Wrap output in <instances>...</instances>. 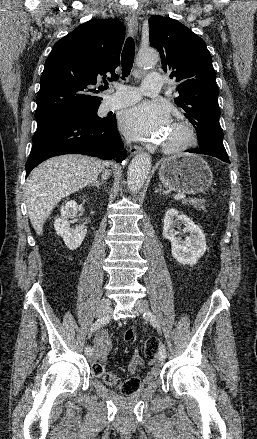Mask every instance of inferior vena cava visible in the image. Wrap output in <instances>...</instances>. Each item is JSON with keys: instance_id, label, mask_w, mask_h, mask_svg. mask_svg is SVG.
Returning <instances> with one entry per match:
<instances>
[{"instance_id": "inferior-vena-cava-1", "label": "inferior vena cava", "mask_w": 257, "mask_h": 439, "mask_svg": "<svg viewBox=\"0 0 257 439\" xmlns=\"http://www.w3.org/2000/svg\"><path fill=\"white\" fill-rule=\"evenodd\" d=\"M108 176V172L106 171L105 173H103V178H106Z\"/></svg>"}]
</instances>
